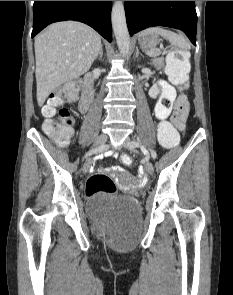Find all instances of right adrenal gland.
<instances>
[{
	"instance_id": "2a0ac1e0",
	"label": "right adrenal gland",
	"mask_w": 233,
	"mask_h": 295,
	"mask_svg": "<svg viewBox=\"0 0 233 295\" xmlns=\"http://www.w3.org/2000/svg\"><path fill=\"white\" fill-rule=\"evenodd\" d=\"M102 57H103V46H101L99 54L96 59H102Z\"/></svg>"
}]
</instances>
